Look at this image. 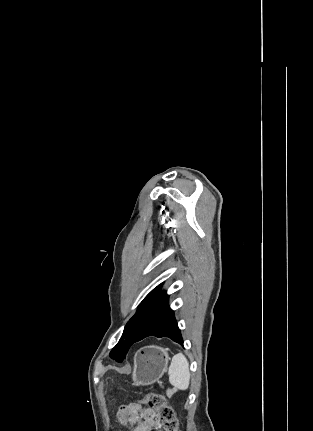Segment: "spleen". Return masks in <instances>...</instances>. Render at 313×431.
Masks as SVG:
<instances>
[{
  "instance_id": "3e777b00",
  "label": "spleen",
  "mask_w": 313,
  "mask_h": 431,
  "mask_svg": "<svg viewBox=\"0 0 313 431\" xmlns=\"http://www.w3.org/2000/svg\"><path fill=\"white\" fill-rule=\"evenodd\" d=\"M169 382L176 389L186 390L190 384L189 363L182 353L173 356L168 369Z\"/></svg>"
}]
</instances>
